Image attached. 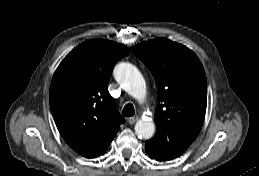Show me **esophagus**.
<instances>
[{
  "label": "esophagus",
  "mask_w": 259,
  "mask_h": 176,
  "mask_svg": "<svg viewBox=\"0 0 259 176\" xmlns=\"http://www.w3.org/2000/svg\"><path fill=\"white\" fill-rule=\"evenodd\" d=\"M137 120H138V117L137 116H133V117L128 118V123L130 125H133Z\"/></svg>",
  "instance_id": "1"
}]
</instances>
